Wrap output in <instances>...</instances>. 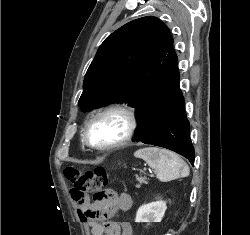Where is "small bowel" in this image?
Segmentation results:
<instances>
[{"label":"small bowel","mask_w":250,"mask_h":235,"mask_svg":"<svg viewBox=\"0 0 250 235\" xmlns=\"http://www.w3.org/2000/svg\"><path fill=\"white\" fill-rule=\"evenodd\" d=\"M106 198L98 203L85 201L78 205L77 211L82 222L90 230L91 235H132V228L128 222L118 223L115 221L101 222L100 217L107 216L115 211H128L132 206V198L128 193L105 192ZM94 214V216H91Z\"/></svg>","instance_id":"1"}]
</instances>
